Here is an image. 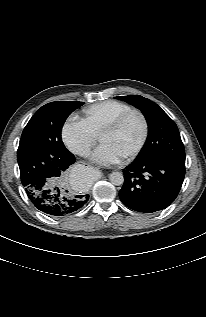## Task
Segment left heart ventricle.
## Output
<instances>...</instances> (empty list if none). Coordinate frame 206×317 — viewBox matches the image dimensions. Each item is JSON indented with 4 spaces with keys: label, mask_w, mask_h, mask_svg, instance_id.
<instances>
[{
    "label": "left heart ventricle",
    "mask_w": 206,
    "mask_h": 317,
    "mask_svg": "<svg viewBox=\"0 0 206 317\" xmlns=\"http://www.w3.org/2000/svg\"><path fill=\"white\" fill-rule=\"evenodd\" d=\"M141 135V119L137 115H132L119 129L103 134L100 140L102 143L113 146L122 156H125L138 144Z\"/></svg>",
    "instance_id": "left-heart-ventricle-1"
}]
</instances>
